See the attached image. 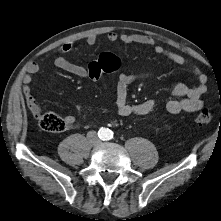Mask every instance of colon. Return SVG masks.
I'll use <instances>...</instances> for the list:
<instances>
[{
	"label": "colon",
	"instance_id": "colon-1",
	"mask_svg": "<svg viewBox=\"0 0 221 221\" xmlns=\"http://www.w3.org/2000/svg\"><path fill=\"white\" fill-rule=\"evenodd\" d=\"M121 66V60L114 54L103 53L96 61L89 64V75L91 79H98L103 73L115 72ZM36 118L40 127L52 133L63 132L68 128L64 118L53 112H44L40 108L36 111ZM214 116L211 110L201 109L195 117L198 124L211 123Z\"/></svg>",
	"mask_w": 221,
	"mask_h": 221
}]
</instances>
